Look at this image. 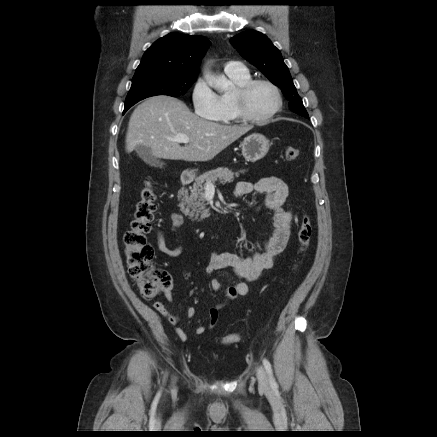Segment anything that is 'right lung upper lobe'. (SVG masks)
<instances>
[{
    "label": "right lung upper lobe",
    "mask_w": 437,
    "mask_h": 437,
    "mask_svg": "<svg viewBox=\"0 0 437 437\" xmlns=\"http://www.w3.org/2000/svg\"><path fill=\"white\" fill-rule=\"evenodd\" d=\"M209 45L203 36L170 33L146 50L136 72L158 69L176 76H197Z\"/></svg>",
    "instance_id": "obj_1"
}]
</instances>
